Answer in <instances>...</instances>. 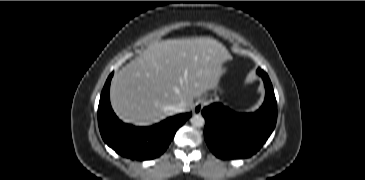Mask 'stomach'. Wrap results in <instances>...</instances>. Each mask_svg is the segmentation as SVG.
I'll list each match as a JSON object with an SVG mask.
<instances>
[{"label": "stomach", "instance_id": "0dacf381", "mask_svg": "<svg viewBox=\"0 0 365 180\" xmlns=\"http://www.w3.org/2000/svg\"><path fill=\"white\" fill-rule=\"evenodd\" d=\"M225 72V69L222 67V73H224Z\"/></svg>", "mask_w": 365, "mask_h": 180}]
</instances>
